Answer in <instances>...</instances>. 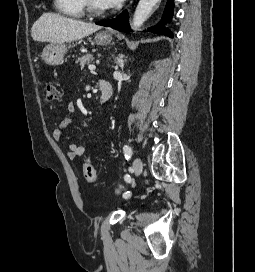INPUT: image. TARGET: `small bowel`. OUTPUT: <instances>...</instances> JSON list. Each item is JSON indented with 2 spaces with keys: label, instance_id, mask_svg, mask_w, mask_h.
<instances>
[{
  "label": "small bowel",
  "instance_id": "obj_1",
  "mask_svg": "<svg viewBox=\"0 0 255 272\" xmlns=\"http://www.w3.org/2000/svg\"><path fill=\"white\" fill-rule=\"evenodd\" d=\"M76 113V106L73 103L67 105V115L59 122L58 126L52 132V138L55 141H60L64 130L72 123ZM86 151L84 145L70 143L67 147V157L70 160H75L82 156Z\"/></svg>",
  "mask_w": 255,
  "mask_h": 272
}]
</instances>
